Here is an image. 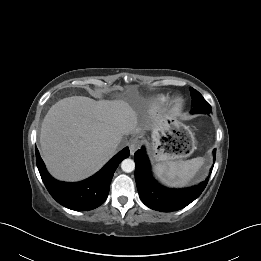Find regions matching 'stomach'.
Masks as SVG:
<instances>
[{"mask_svg":"<svg viewBox=\"0 0 261 261\" xmlns=\"http://www.w3.org/2000/svg\"><path fill=\"white\" fill-rule=\"evenodd\" d=\"M196 145L194 134L177 119L164 115L153 127L150 153L155 162H168L190 156Z\"/></svg>","mask_w":261,"mask_h":261,"instance_id":"stomach-1","label":"stomach"}]
</instances>
